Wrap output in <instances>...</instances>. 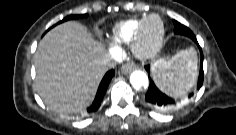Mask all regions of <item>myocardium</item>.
Listing matches in <instances>:
<instances>
[{
	"label": "myocardium",
	"mask_w": 236,
	"mask_h": 135,
	"mask_svg": "<svg viewBox=\"0 0 236 135\" xmlns=\"http://www.w3.org/2000/svg\"><path fill=\"white\" fill-rule=\"evenodd\" d=\"M153 19L158 21L160 31L153 41L148 42L146 40V29L148 23ZM165 36L166 28L163 19L157 14L147 15L143 19L135 38L131 42V51L133 55L140 60H150L154 58L161 51Z\"/></svg>",
	"instance_id": "f54148a6"
}]
</instances>
